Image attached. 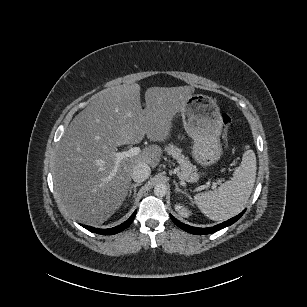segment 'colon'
Here are the masks:
<instances>
[{"label": "colon", "instance_id": "obj_1", "mask_svg": "<svg viewBox=\"0 0 307 307\" xmlns=\"http://www.w3.org/2000/svg\"><path fill=\"white\" fill-rule=\"evenodd\" d=\"M221 119H222V123H223V126H224V130H223V145L226 146V141H227V132H228V128H229V125L231 123V116L226 113V112H223L222 115H221Z\"/></svg>", "mask_w": 307, "mask_h": 307}]
</instances>
